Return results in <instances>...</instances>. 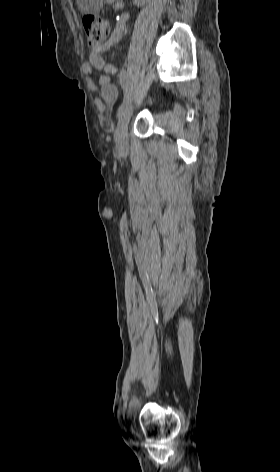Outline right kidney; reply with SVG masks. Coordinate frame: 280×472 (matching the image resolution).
I'll return each instance as SVG.
<instances>
[{
  "label": "right kidney",
  "mask_w": 280,
  "mask_h": 472,
  "mask_svg": "<svg viewBox=\"0 0 280 472\" xmlns=\"http://www.w3.org/2000/svg\"><path fill=\"white\" fill-rule=\"evenodd\" d=\"M137 6H142L145 3V0H135Z\"/></svg>",
  "instance_id": "obj_1"
}]
</instances>
